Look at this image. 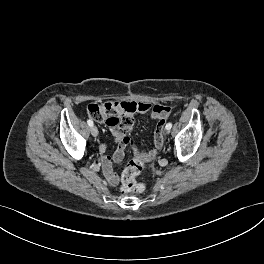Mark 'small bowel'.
I'll use <instances>...</instances> for the list:
<instances>
[{
    "instance_id": "small-bowel-1",
    "label": "small bowel",
    "mask_w": 264,
    "mask_h": 264,
    "mask_svg": "<svg viewBox=\"0 0 264 264\" xmlns=\"http://www.w3.org/2000/svg\"><path fill=\"white\" fill-rule=\"evenodd\" d=\"M127 104L136 105L137 110L135 113L145 114L150 112L151 118L157 121H166L171 113V108L165 105L150 104L146 102H128ZM112 132L115 137V141L118 144L116 151L113 155H110L107 153L106 145L102 144L99 148V152L105 177L110 185L115 186L118 184L119 179L118 175L113 170L112 163H118L122 161L124 157V150L127 146H131L137 153L138 151L135 149L133 141L125 133L116 130H112ZM160 147V145L155 144V148L147 153V160H150L152 157H154Z\"/></svg>"
}]
</instances>
